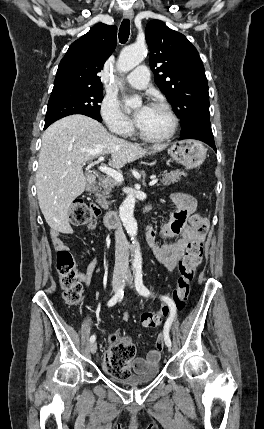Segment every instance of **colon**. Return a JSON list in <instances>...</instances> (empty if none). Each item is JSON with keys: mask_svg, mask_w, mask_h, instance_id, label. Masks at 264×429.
<instances>
[{"mask_svg": "<svg viewBox=\"0 0 264 429\" xmlns=\"http://www.w3.org/2000/svg\"><path fill=\"white\" fill-rule=\"evenodd\" d=\"M98 214L99 209L97 206L88 204L83 199H77L71 205L70 220L74 225H84ZM191 224L197 231L204 233L208 227V217L205 214H195L191 218ZM202 255V243H196L187 248L182 260L179 262V277L173 291V301L176 310L179 312L185 308L190 295L191 284L197 267L201 263ZM56 270L65 301L71 306H80L83 288L78 281L75 259L68 250H59L57 252ZM168 313L169 308L167 306L161 307L158 311L145 312L141 316V323L147 328L156 327ZM163 347L164 341L160 335L156 340V348L162 350ZM134 355L135 348L132 342L128 338L114 335L110 338V353L103 358L102 367L105 372L111 375L126 377L131 373L130 363Z\"/></svg>", "mask_w": 264, "mask_h": 429, "instance_id": "obj_1", "label": "colon"}]
</instances>
